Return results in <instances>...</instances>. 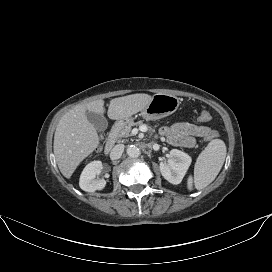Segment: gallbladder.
<instances>
[{
	"label": "gallbladder",
	"mask_w": 272,
	"mask_h": 272,
	"mask_svg": "<svg viewBox=\"0 0 272 272\" xmlns=\"http://www.w3.org/2000/svg\"><path fill=\"white\" fill-rule=\"evenodd\" d=\"M86 116L88 121L95 127L96 130L104 131L107 129L108 122L103 114L87 111Z\"/></svg>",
	"instance_id": "1"
}]
</instances>
